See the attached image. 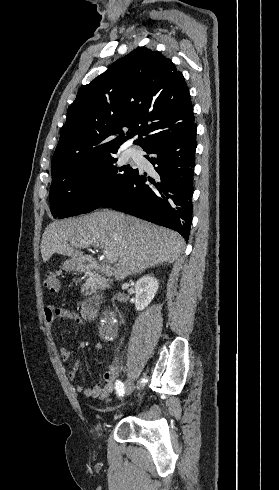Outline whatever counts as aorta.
Returning <instances> with one entry per match:
<instances>
[{
	"mask_svg": "<svg viewBox=\"0 0 279 490\" xmlns=\"http://www.w3.org/2000/svg\"><path fill=\"white\" fill-rule=\"evenodd\" d=\"M114 320L104 318L101 320V331L106 337H111L114 334Z\"/></svg>",
	"mask_w": 279,
	"mask_h": 490,
	"instance_id": "obj_1",
	"label": "aorta"
}]
</instances>
